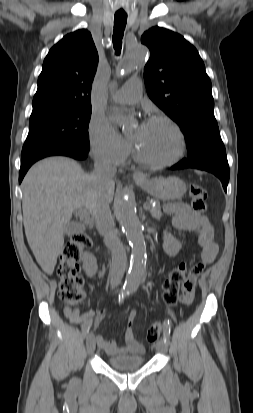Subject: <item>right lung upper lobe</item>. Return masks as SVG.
Segmentation results:
<instances>
[{
	"mask_svg": "<svg viewBox=\"0 0 253 413\" xmlns=\"http://www.w3.org/2000/svg\"><path fill=\"white\" fill-rule=\"evenodd\" d=\"M98 53L86 29L63 37L46 56L33 98V111L91 106Z\"/></svg>",
	"mask_w": 253,
	"mask_h": 413,
	"instance_id": "1",
	"label": "right lung upper lobe"
}]
</instances>
